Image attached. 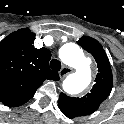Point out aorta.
I'll use <instances>...</instances> for the list:
<instances>
[{"label": "aorta", "mask_w": 124, "mask_h": 124, "mask_svg": "<svg viewBox=\"0 0 124 124\" xmlns=\"http://www.w3.org/2000/svg\"><path fill=\"white\" fill-rule=\"evenodd\" d=\"M59 57L74 69L63 81V90L68 94H79L86 90L91 83V71L83 50L77 44L68 42L60 48Z\"/></svg>", "instance_id": "obj_1"}]
</instances>
